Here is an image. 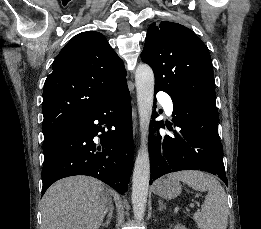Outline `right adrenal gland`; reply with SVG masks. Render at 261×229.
Wrapping results in <instances>:
<instances>
[{
  "mask_svg": "<svg viewBox=\"0 0 261 229\" xmlns=\"http://www.w3.org/2000/svg\"><path fill=\"white\" fill-rule=\"evenodd\" d=\"M113 213H114V207H113V205H110V209H109L108 215H107V221H106V223H102V227H108V225H111Z\"/></svg>",
  "mask_w": 261,
  "mask_h": 229,
  "instance_id": "1",
  "label": "right adrenal gland"
}]
</instances>
